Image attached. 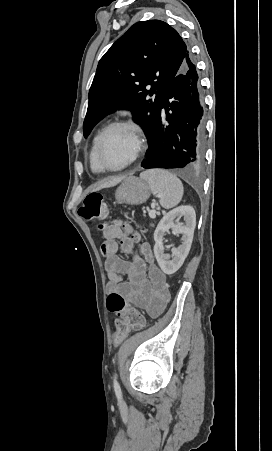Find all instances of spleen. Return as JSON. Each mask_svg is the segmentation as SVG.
Wrapping results in <instances>:
<instances>
[{"mask_svg": "<svg viewBox=\"0 0 272 451\" xmlns=\"http://www.w3.org/2000/svg\"><path fill=\"white\" fill-rule=\"evenodd\" d=\"M140 178L146 180L154 196H161L159 202L162 208L170 210L182 200L184 188L181 180L167 170H146Z\"/></svg>", "mask_w": 272, "mask_h": 451, "instance_id": "spleen-1", "label": "spleen"}]
</instances>
